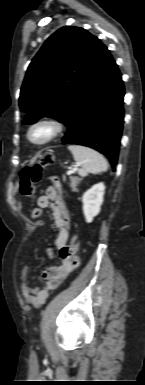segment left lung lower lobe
I'll return each instance as SVG.
<instances>
[{
    "mask_svg": "<svg viewBox=\"0 0 145 385\" xmlns=\"http://www.w3.org/2000/svg\"><path fill=\"white\" fill-rule=\"evenodd\" d=\"M124 94L117 64L99 40L65 123L68 131L62 141L65 144L84 145L103 153L115 169L123 129Z\"/></svg>",
    "mask_w": 145,
    "mask_h": 385,
    "instance_id": "obj_1",
    "label": "left lung lower lobe"
}]
</instances>
